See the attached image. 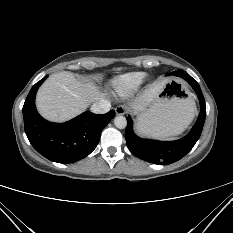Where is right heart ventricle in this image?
<instances>
[{"mask_svg": "<svg viewBox=\"0 0 233 233\" xmlns=\"http://www.w3.org/2000/svg\"><path fill=\"white\" fill-rule=\"evenodd\" d=\"M146 79L147 75L144 72H131L116 77L112 84L118 94L127 96L137 91Z\"/></svg>", "mask_w": 233, "mask_h": 233, "instance_id": "obj_1", "label": "right heart ventricle"}]
</instances>
